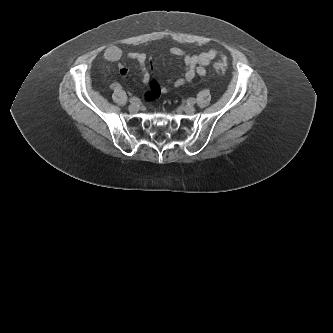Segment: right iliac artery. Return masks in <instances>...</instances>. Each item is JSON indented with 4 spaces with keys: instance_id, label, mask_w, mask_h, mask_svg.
<instances>
[{
    "instance_id": "obj_1",
    "label": "right iliac artery",
    "mask_w": 333,
    "mask_h": 333,
    "mask_svg": "<svg viewBox=\"0 0 333 333\" xmlns=\"http://www.w3.org/2000/svg\"><path fill=\"white\" fill-rule=\"evenodd\" d=\"M130 102L138 104L140 102V100L136 97H132V98H130Z\"/></svg>"
}]
</instances>
